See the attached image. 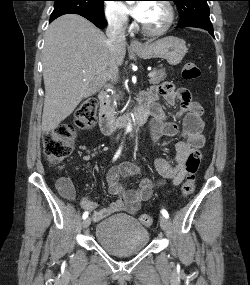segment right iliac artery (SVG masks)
I'll return each instance as SVG.
<instances>
[{
  "label": "right iliac artery",
  "mask_w": 250,
  "mask_h": 285,
  "mask_svg": "<svg viewBox=\"0 0 250 285\" xmlns=\"http://www.w3.org/2000/svg\"><path fill=\"white\" fill-rule=\"evenodd\" d=\"M120 152H121V147L119 148V150H118L117 153L115 154L114 160H116V159L118 158V156L120 155ZM87 217H88V212L86 211V212L83 213L82 218H83V219H86Z\"/></svg>",
  "instance_id": "obj_1"
}]
</instances>
